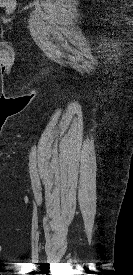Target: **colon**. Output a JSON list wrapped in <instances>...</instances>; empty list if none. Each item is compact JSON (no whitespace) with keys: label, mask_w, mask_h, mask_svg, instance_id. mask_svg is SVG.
Here are the masks:
<instances>
[{"label":"colon","mask_w":133,"mask_h":275,"mask_svg":"<svg viewBox=\"0 0 133 275\" xmlns=\"http://www.w3.org/2000/svg\"><path fill=\"white\" fill-rule=\"evenodd\" d=\"M2 6L7 11H13L15 9V0H4Z\"/></svg>","instance_id":"colon-1"}]
</instances>
